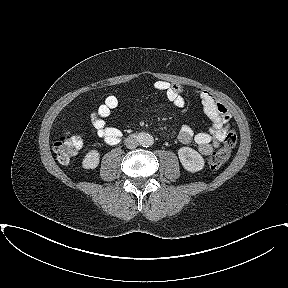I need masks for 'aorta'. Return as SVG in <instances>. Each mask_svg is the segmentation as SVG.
Instances as JSON below:
<instances>
[{
    "label": "aorta",
    "mask_w": 288,
    "mask_h": 288,
    "mask_svg": "<svg viewBox=\"0 0 288 288\" xmlns=\"http://www.w3.org/2000/svg\"><path fill=\"white\" fill-rule=\"evenodd\" d=\"M139 143L143 147H149V146L153 145L154 138L150 134L143 133L139 137Z\"/></svg>",
    "instance_id": "1"
}]
</instances>
